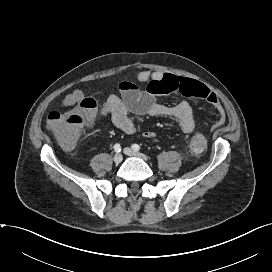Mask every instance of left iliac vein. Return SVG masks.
<instances>
[{"label":"left iliac vein","instance_id":"obj_1","mask_svg":"<svg viewBox=\"0 0 272 272\" xmlns=\"http://www.w3.org/2000/svg\"><path fill=\"white\" fill-rule=\"evenodd\" d=\"M124 153L128 156H133V157H138V158H141L145 161L148 160V157L145 155V154H142L140 152H137L131 148H124Z\"/></svg>","mask_w":272,"mask_h":272}]
</instances>
